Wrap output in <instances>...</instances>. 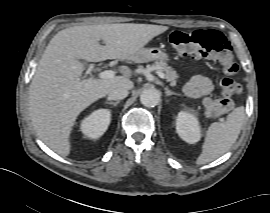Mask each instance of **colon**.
Returning a JSON list of instances; mask_svg holds the SVG:
<instances>
[{"instance_id": "1", "label": "colon", "mask_w": 270, "mask_h": 213, "mask_svg": "<svg viewBox=\"0 0 270 213\" xmlns=\"http://www.w3.org/2000/svg\"><path fill=\"white\" fill-rule=\"evenodd\" d=\"M169 45L184 57L216 60L229 76L236 74L238 67L234 62L231 46L217 30H196L191 33L175 31L169 38ZM222 97H207L205 108L212 115L226 113L232 106L231 97L240 93L241 86L232 78H224L220 83Z\"/></svg>"}]
</instances>
